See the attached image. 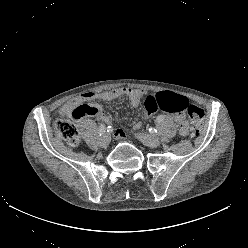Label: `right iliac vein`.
Here are the masks:
<instances>
[{"label":"right iliac vein","instance_id":"obj_1","mask_svg":"<svg viewBox=\"0 0 248 248\" xmlns=\"http://www.w3.org/2000/svg\"><path fill=\"white\" fill-rule=\"evenodd\" d=\"M111 141V138L108 134H104L99 141L101 147L106 148Z\"/></svg>","mask_w":248,"mask_h":248}]
</instances>
